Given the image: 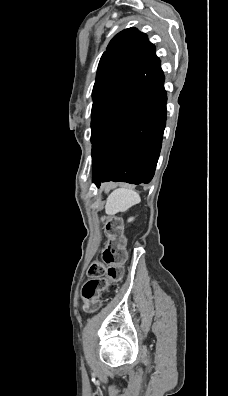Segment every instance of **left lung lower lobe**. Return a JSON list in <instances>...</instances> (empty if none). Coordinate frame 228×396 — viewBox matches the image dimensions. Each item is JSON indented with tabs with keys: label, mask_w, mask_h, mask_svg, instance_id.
<instances>
[{
	"label": "left lung lower lobe",
	"mask_w": 228,
	"mask_h": 396,
	"mask_svg": "<svg viewBox=\"0 0 228 396\" xmlns=\"http://www.w3.org/2000/svg\"><path fill=\"white\" fill-rule=\"evenodd\" d=\"M164 74L155 50L147 68L118 100L92 142L93 182L149 183L166 125Z\"/></svg>",
	"instance_id": "1"
}]
</instances>
